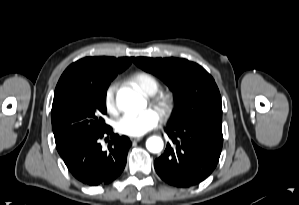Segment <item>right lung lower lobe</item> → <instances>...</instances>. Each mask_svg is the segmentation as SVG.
<instances>
[{
    "label": "right lung lower lobe",
    "instance_id": "obj_1",
    "mask_svg": "<svg viewBox=\"0 0 299 205\" xmlns=\"http://www.w3.org/2000/svg\"><path fill=\"white\" fill-rule=\"evenodd\" d=\"M111 128L79 138L58 151L68 170L80 182L89 186L113 182L123 171L131 142L126 136L111 135L107 151L102 150L99 139Z\"/></svg>",
    "mask_w": 299,
    "mask_h": 205
}]
</instances>
